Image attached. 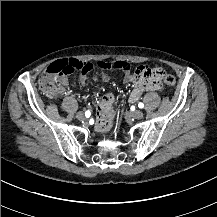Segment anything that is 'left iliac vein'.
Segmentation results:
<instances>
[{"mask_svg": "<svg viewBox=\"0 0 217 217\" xmlns=\"http://www.w3.org/2000/svg\"><path fill=\"white\" fill-rule=\"evenodd\" d=\"M131 117L135 118V119H141L143 118L144 114L141 110H135L132 113H130Z\"/></svg>", "mask_w": 217, "mask_h": 217, "instance_id": "4c4485c4", "label": "left iliac vein"}]
</instances>
